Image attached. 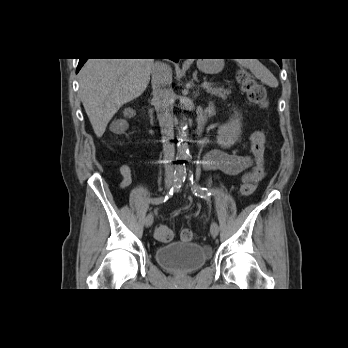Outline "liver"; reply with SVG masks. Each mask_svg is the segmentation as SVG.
I'll list each match as a JSON object with an SVG mask.
<instances>
[{"label": "liver", "instance_id": "obj_1", "mask_svg": "<svg viewBox=\"0 0 348 348\" xmlns=\"http://www.w3.org/2000/svg\"><path fill=\"white\" fill-rule=\"evenodd\" d=\"M154 59H88L79 72L81 101L97 137L124 104L147 88Z\"/></svg>", "mask_w": 348, "mask_h": 348}]
</instances>
